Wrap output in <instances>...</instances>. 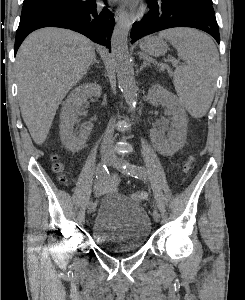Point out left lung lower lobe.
Returning a JSON list of instances; mask_svg holds the SVG:
<instances>
[{"instance_id":"0a47b994","label":"left lung lower lobe","mask_w":245,"mask_h":300,"mask_svg":"<svg viewBox=\"0 0 245 300\" xmlns=\"http://www.w3.org/2000/svg\"><path fill=\"white\" fill-rule=\"evenodd\" d=\"M149 12L133 24V42L173 27H192L209 33L219 43V27L212 4L202 0H146Z\"/></svg>"}]
</instances>
